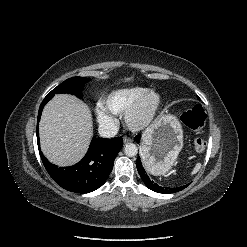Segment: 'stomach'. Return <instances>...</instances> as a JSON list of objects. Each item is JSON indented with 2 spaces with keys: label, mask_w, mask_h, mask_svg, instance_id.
<instances>
[{
  "label": "stomach",
  "mask_w": 247,
  "mask_h": 247,
  "mask_svg": "<svg viewBox=\"0 0 247 247\" xmlns=\"http://www.w3.org/2000/svg\"><path fill=\"white\" fill-rule=\"evenodd\" d=\"M183 147V130L176 116L159 117L142 136L140 156L153 175L167 173Z\"/></svg>",
  "instance_id": "1"
}]
</instances>
